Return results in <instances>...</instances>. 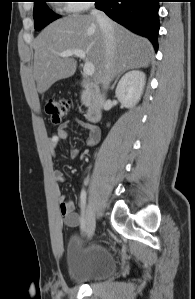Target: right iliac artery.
Returning a JSON list of instances; mask_svg holds the SVG:
<instances>
[{
  "mask_svg": "<svg viewBox=\"0 0 195 299\" xmlns=\"http://www.w3.org/2000/svg\"><path fill=\"white\" fill-rule=\"evenodd\" d=\"M80 202H81V216H82V224L81 229H85V205H86V190L83 188L80 194Z\"/></svg>",
  "mask_w": 195,
  "mask_h": 299,
  "instance_id": "obj_1",
  "label": "right iliac artery"
}]
</instances>
